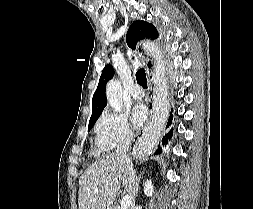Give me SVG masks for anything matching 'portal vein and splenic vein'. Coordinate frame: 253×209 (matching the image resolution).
<instances>
[{
    "mask_svg": "<svg viewBox=\"0 0 253 209\" xmlns=\"http://www.w3.org/2000/svg\"><path fill=\"white\" fill-rule=\"evenodd\" d=\"M131 204V197L126 195L121 200V209H128Z\"/></svg>",
    "mask_w": 253,
    "mask_h": 209,
    "instance_id": "portal-vein-and-splenic-vein-1",
    "label": "portal vein and splenic vein"
}]
</instances>
